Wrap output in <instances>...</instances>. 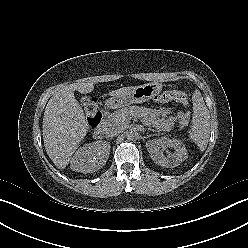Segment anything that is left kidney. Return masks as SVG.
<instances>
[{
    "mask_svg": "<svg viewBox=\"0 0 248 248\" xmlns=\"http://www.w3.org/2000/svg\"><path fill=\"white\" fill-rule=\"evenodd\" d=\"M147 150L151 159L158 165L166 168H173L180 163L184 162L187 158V150L183 143L177 139H169L161 137L158 139H152L146 142ZM164 147H171L174 149V153L165 157L160 149Z\"/></svg>",
    "mask_w": 248,
    "mask_h": 248,
    "instance_id": "left-kidney-1",
    "label": "left kidney"
}]
</instances>
